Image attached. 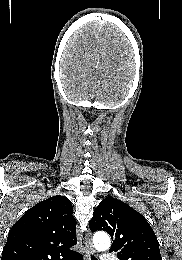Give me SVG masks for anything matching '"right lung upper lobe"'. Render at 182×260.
<instances>
[{
    "label": "right lung upper lobe",
    "instance_id": "1",
    "mask_svg": "<svg viewBox=\"0 0 182 260\" xmlns=\"http://www.w3.org/2000/svg\"><path fill=\"white\" fill-rule=\"evenodd\" d=\"M73 206L56 195L37 203L15 223L8 234L2 260H67L78 253Z\"/></svg>",
    "mask_w": 182,
    "mask_h": 260
}]
</instances>
